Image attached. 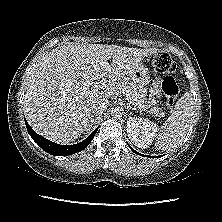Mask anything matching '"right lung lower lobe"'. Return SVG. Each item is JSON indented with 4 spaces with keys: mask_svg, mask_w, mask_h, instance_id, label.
Wrapping results in <instances>:
<instances>
[{
    "mask_svg": "<svg viewBox=\"0 0 222 222\" xmlns=\"http://www.w3.org/2000/svg\"><path fill=\"white\" fill-rule=\"evenodd\" d=\"M25 124L27 127V130L29 132V134L31 135V137L33 138V140L47 153L51 154V155H55V156H67V155H71L77 152L82 151L83 149H85L90 142L92 141L94 135L96 134L98 129H95L87 139H85L84 141L78 143V144H74V145H60L54 142L49 141L48 139L40 136L39 134H37L31 127L30 125L27 123V121L25 120Z\"/></svg>",
    "mask_w": 222,
    "mask_h": 222,
    "instance_id": "1",
    "label": "right lung lower lobe"
}]
</instances>
